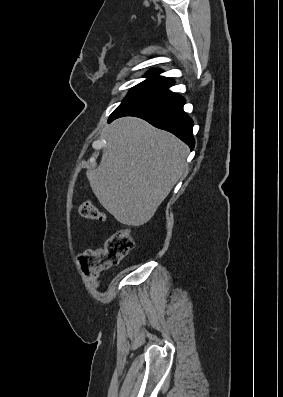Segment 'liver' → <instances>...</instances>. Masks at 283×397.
<instances>
[{
  "label": "liver",
  "instance_id": "6515ba94",
  "mask_svg": "<svg viewBox=\"0 0 283 397\" xmlns=\"http://www.w3.org/2000/svg\"><path fill=\"white\" fill-rule=\"evenodd\" d=\"M106 139L98 168L88 173L92 191L118 222L141 226L186 171L189 148L135 117L112 122Z\"/></svg>",
  "mask_w": 283,
  "mask_h": 397
}]
</instances>
